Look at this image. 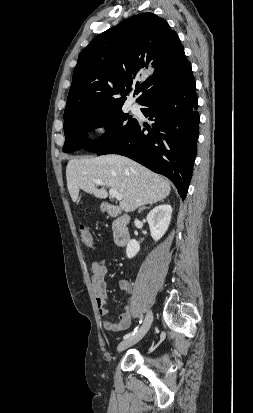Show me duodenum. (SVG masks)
<instances>
[{
	"label": "duodenum",
	"instance_id": "duodenum-1",
	"mask_svg": "<svg viewBox=\"0 0 253 413\" xmlns=\"http://www.w3.org/2000/svg\"><path fill=\"white\" fill-rule=\"evenodd\" d=\"M104 208L110 216L115 218L113 223V238L115 244L118 246H125L130 239L128 229L130 221L129 216L126 213L121 212L116 206L110 204H106Z\"/></svg>",
	"mask_w": 253,
	"mask_h": 413
}]
</instances>
